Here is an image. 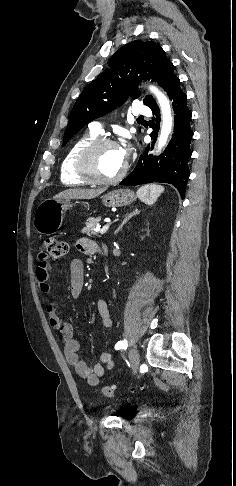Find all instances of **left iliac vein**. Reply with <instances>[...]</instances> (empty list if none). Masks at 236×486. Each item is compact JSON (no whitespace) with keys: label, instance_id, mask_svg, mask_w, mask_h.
Masks as SVG:
<instances>
[{"label":"left iliac vein","instance_id":"1","mask_svg":"<svg viewBox=\"0 0 236 486\" xmlns=\"http://www.w3.org/2000/svg\"><path fill=\"white\" fill-rule=\"evenodd\" d=\"M129 361L133 372L136 373L140 364V358L138 350L135 347L129 351Z\"/></svg>","mask_w":236,"mask_h":486}]
</instances>
